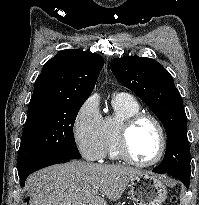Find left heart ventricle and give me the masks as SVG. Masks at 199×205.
I'll return each mask as SVG.
<instances>
[{
	"label": "left heart ventricle",
	"mask_w": 199,
	"mask_h": 205,
	"mask_svg": "<svg viewBox=\"0 0 199 205\" xmlns=\"http://www.w3.org/2000/svg\"><path fill=\"white\" fill-rule=\"evenodd\" d=\"M160 147L159 132L148 120L139 122L131 131L129 149L132 156L140 162H148L156 157Z\"/></svg>",
	"instance_id": "left-heart-ventricle-1"
}]
</instances>
